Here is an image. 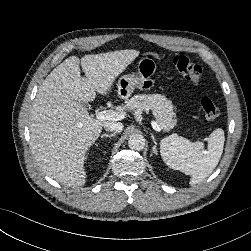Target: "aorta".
<instances>
[{
	"label": "aorta",
	"instance_id": "obj_1",
	"mask_svg": "<svg viewBox=\"0 0 251 251\" xmlns=\"http://www.w3.org/2000/svg\"><path fill=\"white\" fill-rule=\"evenodd\" d=\"M128 146L132 150H142L145 146V139L141 134H132L128 139Z\"/></svg>",
	"mask_w": 251,
	"mask_h": 251
}]
</instances>
